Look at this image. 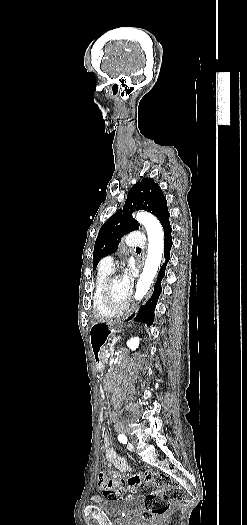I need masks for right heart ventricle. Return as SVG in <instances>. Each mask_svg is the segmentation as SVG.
Masks as SVG:
<instances>
[{
    "label": "right heart ventricle",
    "mask_w": 247,
    "mask_h": 525,
    "mask_svg": "<svg viewBox=\"0 0 247 525\" xmlns=\"http://www.w3.org/2000/svg\"><path fill=\"white\" fill-rule=\"evenodd\" d=\"M112 274V267L109 264L108 258H104L100 263V269L96 279V285L92 294V309L94 317H113L110 309L103 307L101 298L99 296V288L104 281Z\"/></svg>",
    "instance_id": "1"
}]
</instances>
